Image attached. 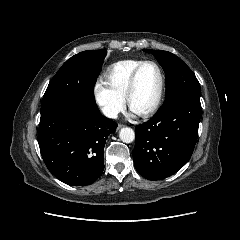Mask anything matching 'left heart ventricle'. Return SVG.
Returning <instances> with one entry per match:
<instances>
[{
    "instance_id": "left-heart-ventricle-1",
    "label": "left heart ventricle",
    "mask_w": 240,
    "mask_h": 240,
    "mask_svg": "<svg viewBox=\"0 0 240 240\" xmlns=\"http://www.w3.org/2000/svg\"><path fill=\"white\" fill-rule=\"evenodd\" d=\"M159 74L153 65H145L139 72L130 107L136 113L146 111L154 102L159 88Z\"/></svg>"
}]
</instances>
